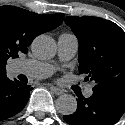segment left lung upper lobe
<instances>
[{"instance_id":"left-lung-upper-lobe-1","label":"left lung upper lobe","mask_w":125,"mask_h":125,"mask_svg":"<svg viewBox=\"0 0 125 125\" xmlns=\"http://www.w3.org/2000/svg\"><path fill=\"white\" fill-rule=\"evenodd\" d=\"M79 40V72L93 90L125 92V32L115 23L98 17L67 16L64 20Z\"/></svg>"}]
</instances>
